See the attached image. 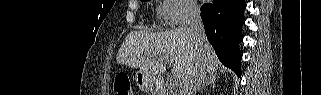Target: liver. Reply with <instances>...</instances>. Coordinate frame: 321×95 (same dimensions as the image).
Returning a JSON list of instances; mask_svg holds the SVG:
<instances>
[{"label":"liver","instance_id":"1","mask_svg":"<svg viewBox=\"0 0 321 95\" xmlns=\"http://www.w3.org/2000/svg\"><path fill=\"white\" fill-rule=\"evenodd\" d=\"M116 60L118 64L139 69L153 79L172 63V74L180 84L200 62L210 76L221 67L209 42L206 40L202 47L198 46L187 27L162 33L133 31L121 45Z\"/></svg>","mask_w":321,"mask_h":95}]
</instances>
